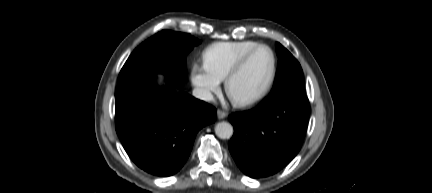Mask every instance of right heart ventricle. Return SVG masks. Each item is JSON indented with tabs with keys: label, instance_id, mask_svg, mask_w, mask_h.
<instances>
[{
	"label": "right heart ventricle",
	"instance_id": "e07e8e85",
	"mask_svg": "<svg viewBox=\"0 0 432 193\" xmlns=\"http://www.w3.org/2000/svg\"><path fill=\"white\" fill-rule=\"evenodd\" d=\"M258 44L253 40L214 43L204 52V64L213 76L223 81L232 66Z\"/></svg>",
	"mask_w": 432,
	"mask_h": 193
}]
</instances>
